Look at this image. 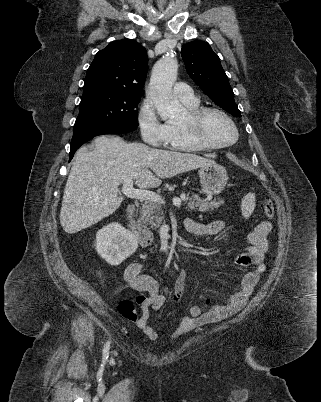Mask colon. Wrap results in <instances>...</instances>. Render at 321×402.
Masks as SVG:
<instances>
[{
    "instance_id": "1",
    "label": "colon",
    "mask_w": 321,
    "mask_h": 402,
    "mask_svg": "<svg viewBox=\"0 0 321 402\" xmlns=\"http://www.w3.org/2000/svg\"><path fill=\"white\" fill-rule=\"evenodd\" d=\"M263 211L266 217L272 218L274 214V206L271 200L267 199L263 204ZM144 295H139L135 299L136 304H142L145 301ZM135 303L132 300L124 299L119 303L118 310L120 314L128 320L135 321L137 319V312Z\"/></svg>"
}]
</instances>
